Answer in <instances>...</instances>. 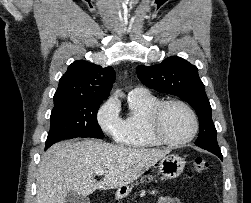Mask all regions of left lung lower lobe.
<instances>
[{
	"label": "left lung lower lobe",
	"mask_w": 251,
	"mask_h": 203,
	"mask_svg": "<svg viewBox=\"0 0 251 203\" xmlns=\"http://www.w3.org/2000/svg\"><path fill=\"white\" fill-rule=\"evenodd\" d=\"M212 153H214L215 155H217L221 160L223 159V156L221 154V151L220 152H217V151H211Z\"/></svg>",
	"instance_id": "left-lung-lower-lobe-1"
}]
</instances>
